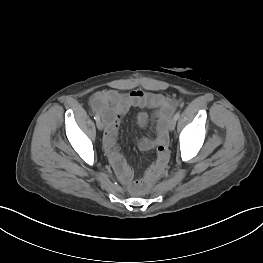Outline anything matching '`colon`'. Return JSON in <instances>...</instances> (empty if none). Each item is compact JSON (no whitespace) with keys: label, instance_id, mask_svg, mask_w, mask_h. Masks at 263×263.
Wrapping results in <instances>:
<instances>
[{"label":"colon","instance_id":"1","mask_svg":"<svg viewBox=\"0 0 263 263\" xmlns=\"http://www.w3.org/2000/svg\"><path fill=\"white\" fill-rule=\"evenodd\" d=\"M143 186V182L142 181H140V182H138L136 185H135V189H137V188H140V187H142Z\"/></svg>","mask_w":263,"mask_h":263}]
</instances>
